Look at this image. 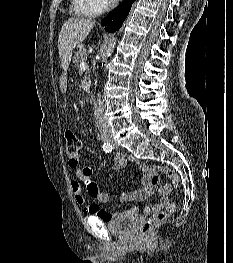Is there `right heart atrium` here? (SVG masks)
I'll return each mask as SVG.
<instances>
[{
    "mask_svg": "<svg viewBox=\"0 0 233 263\" xmlns=\"http://www.w3.org/2000/svg\"><path fill=\"white\" fill-rule=\"evenodd\" d=\"M92 14H100L115 7L118 0H83Z\"/></svg>",
    "mask_w": 233,
    "mask_h": 263,
    "instance_id": "right-heart-atrium-1",
    "label": "right heart atrium"
}]
</instances>
